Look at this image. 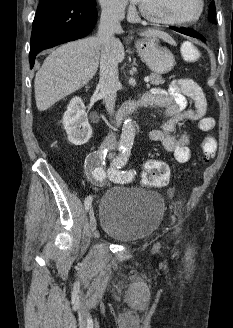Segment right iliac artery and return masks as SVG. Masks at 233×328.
I'll use <instances>...</instances> for the list:
<instances>
[{
  "instance_id": "1",
  "label": "right iliac artery",
  "mask_w": 233,
  "mask_h": 328,
  "mask_svg": "<svg viewBox=\"0 0 233 328\" xmlns=\"http://www.w3.org/2000/svg\"><path fill=\"white\" fill-rule=\"evenodd\" d=\"M125 147L119 146V151H122ZM107 149H101L91 153L85 161L86 175L89 181L95 186H103L105 184L106 173L104 170L105 158L107 155ZM92 203V196H88L84 205L86 210H89Z\"/></svg>"
}]
</instances>
